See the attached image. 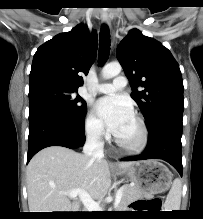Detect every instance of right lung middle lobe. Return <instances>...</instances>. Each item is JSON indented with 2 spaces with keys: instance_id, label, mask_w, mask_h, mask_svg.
I'll return each instance as SVG.
<instances>
[{
  "instance_id": "1",
  "label": "right lung middle lobe",
  "mask_w": 203,
  "mask_h": 219,
  "mask_svg": "<svg viewBox=\"0 0 203 219\" xmlns=\"http://www.w3.org/2000/svg\"><path fill=\"white\" fill-rule=\"evenodd\" d=\"M77 89L52 81L29 84V109L41 107L70 119L85 116L87 105L82 97L75 96Z\"/></svg>"
}]
</instances>
